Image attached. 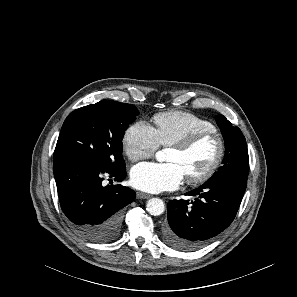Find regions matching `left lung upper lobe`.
Here are the masks:
<instances>
[{"label":"left lung upper lobe","instance_id":"1","mask_svg":"<svg viewBox=\"0 0 297 297\" xmlns=\"http://www.w3.org/2000/svg\"><path fill=\"white\" fill-rule=\"evenodd\" d=\"M225 141V157L221 166L210 179H247L249 157L245 137L238 127H234L223 115L216 118ZM209 179V180H210Z\"/></svg>","mask_w":297,"mask_h":297}]
</instances>
